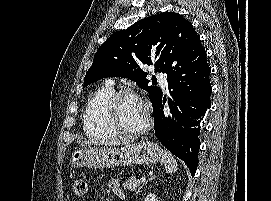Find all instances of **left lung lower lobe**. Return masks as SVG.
<instances>
[{"instance_id":"obj_1","label":"left lung lower lobe","mask_w":271,"mask_h":201,"mask_svg":"<svg viewBox=\"0 0 271 201\" xmlns=\"http://www.w3.org/2000/svg\"><path fill=\"white\" fill-rule=\"evenodd\" d=\"M210 72L199 36L178 40L166 72L174 101L169 99L164 111L166 98L161 93L153 105L156 137L187 164L192 176L198 163V136L211 107Z\"/></svg>"}]
</instances>
